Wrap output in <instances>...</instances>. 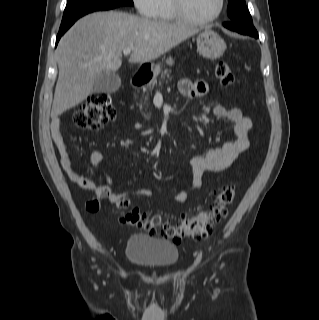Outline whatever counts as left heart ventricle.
Segmentation results:
<instances>
[{"instance_id":"obj_1","label":"left heart ventricle","mask_w":319,"mask_h":320,"mask_svg":"<svg viewBox=\"0 0 319 320\" xmlns=\"http://www.w3.org/2000/svg\"><path fill=\"white\" fill-rule=\"evenodd\" d=\"M187 12L194 18L205 19L214 15L218 9L219 0H184Z\"/></svg>"}]
</instances>
